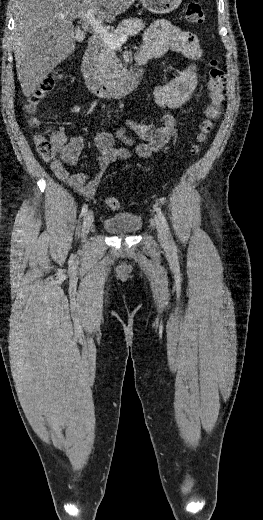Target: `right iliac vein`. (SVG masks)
<instances>
[{"mask_svg": "<svg viewBox=\"0 0 263 520\" xmlns=\"http://www.w3.org/2000/svg\"><path fill=\"white\" fill-rule=\"evenodd\" d=\"M93 221H94V214L91 210H89L85 214L84 220H83V228H82L83 238H85V236L89 232V230L93 224Z\"/></svg>", "mask_w": 263, "mask_h": 520, "instance_id": "obj_1", "label": "right iliac vein"}]
</instances>
